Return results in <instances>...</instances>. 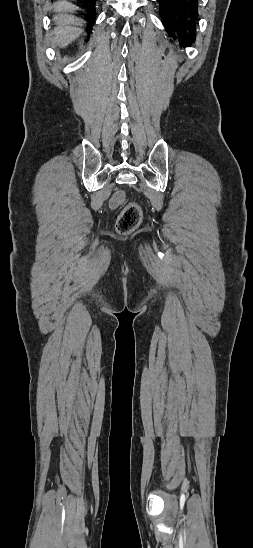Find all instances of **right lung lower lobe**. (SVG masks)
Returning <instances> with one entry per match:
<instances>
[{"instance_id": "obj_1", "label": "right lung lower lobe", "mask_w": 253, "mask_h": 548, "mask_svg": "<svg viewBox=\"0 0 253 548\" xmlns=\"http://www.w3.org/2000/svg\"><path fill=\"white\" fill-rule=\"evenodd\" d=\"M82 2L85 6H87L90 10H94L95 3L97 0H78ZM91 24H94L95 22V16L92 15V17H89Z\"/></svg>"}]
</instances>
